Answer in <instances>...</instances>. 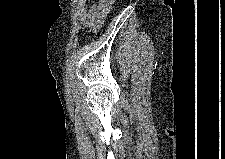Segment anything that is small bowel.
Segmentation results:
<instances>
[{"label":"small bowel","mask_w":225,"mask_h":159,"mask_svg":"<svg viewBox=\"0 0 225 159\" xmlns=\"http://www.w3.org/2000/svg\"><path fill=\"white\" fill-rule=\"evenodd\" d=\"M112 0H100L88 7L85 0L77 1V14L86 26L97 29L103 22Z\"/></svg>","instance_id":"small-bowel-1"}]
</instances>
